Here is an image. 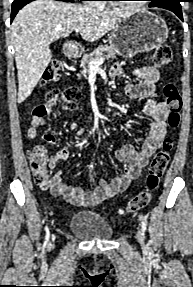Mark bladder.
<instances>
[{
	"mask_svg": "<svg viewBox=\"0 0 193 287\" xmlns=\"http://www.w3.org/2000/svg\"><path fill=\"white\" fill-rule=\"evenodd\" d=\"M69 229L78 237L88 240H108L113 236L112 227L93 211L75 212L70 220Z\"/></svg>",
	"mask_w": 193,
	"mask_h": 287,
	"instance_id": "obj_1",
	"label": "bladder"
}]
</instances>
